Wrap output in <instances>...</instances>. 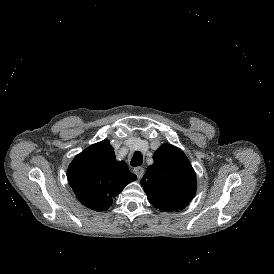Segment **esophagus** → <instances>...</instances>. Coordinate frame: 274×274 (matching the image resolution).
Returning <instances> with one entry per match:
<instances>
[{
    "instance_id": "esophagus-1",
    "label": "esophagus",
    "mask_w": 274,
    "mask_h": 274,
    "mask_svg": "<svg viewBox=\"0 0 274 274\" xmlns=\"http://www.w3.org/2000/svg\"><path fill=\"white\" fill-rule=\"evenodd\" d=\"M133 172L137 175V177L140 179L143 177L144 174V168L143 167H134Z\"/></svg>"
}]
</instances>
